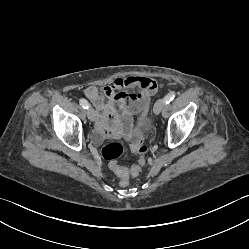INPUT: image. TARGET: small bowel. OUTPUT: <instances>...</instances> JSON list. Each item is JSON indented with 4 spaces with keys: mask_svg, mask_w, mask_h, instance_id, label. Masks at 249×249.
I'll use <instances>...</instances> for the list:
<instances>
[{
    "mask_svg": "<svg viewBox=\"0 0 249 249\" xmlns=\"http://www.w3.org/2000/svg\"><path fill=\"white\" fill-rule=\"evenodd\" d=\"M155 81L146 77H119L113 83L99 88L88 86L85 95L94 105L97 112V132L102 138L116 136L119 129L130 125V113L145 110L150 97L157 90L151 88ZM137 87L142 91L126 93L124 89Z\"/></svg>",
    "mask_w": 249,
    "mask_h": 249,
    "instance_id": "1",
    "label": "small bowel"
}]
</instances>
